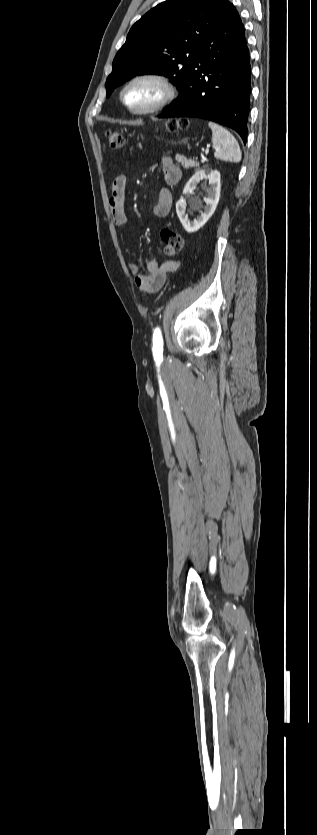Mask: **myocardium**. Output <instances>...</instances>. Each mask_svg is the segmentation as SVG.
Wrapping results in <instances>:
<instances>
[{
	"label": "myocardium",
	"mask_w": 317,
	"mask_h": 835,
	"mask_svg": "<svg viewBox=\"0 0 317 835\" xmlns=\"http://www.w3.org/2000/svg\"><path fill=\"white\" fill-rule=\"evenodd\" d=\"M139 82H148L154 85L158 91L159 96L148 106L144 108H135L127 103L125 99L126 91L134 84ZM176 87L170 81V79L164 75L157 74V73H141L131 77L126 83L122 86L119 92V98L122 105L132 114L135 115H149L156 113L163 108H165L168 104H170L174 98L176 97Z\"/></svg>",
	"instance_id": "f54148a6"
}]
</instances>
